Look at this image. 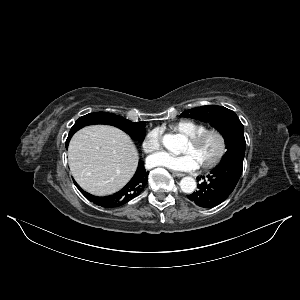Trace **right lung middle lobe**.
Returning <instances> with one entry per match:
<instances>
[{
  "label": "right lung middle lobe",
  "instance_id": "right-lung-middle-lobe-1",
  "mask_svg": "<svg viewBox=\"0 0 300 300\" xmlns=\"http://www.w3.org/2000/svg\"><path fill=\"white\" fill-rule=\"evenodd\" d=\"M92 124H107L115 126L127 134L130 135L132 139L142 142L144 140L146 129L145 122L133 123L121 116H117L111 113L97 112L90 113L85 116L80 117L69 132L67 140H70L72 135L84 126Z\"/></svg>",
  "mask_w": 300,
  "mask_h": 300
}]
</instances>
